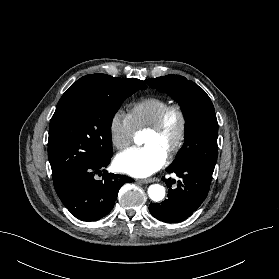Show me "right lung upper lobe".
<instances>
[{"label": "right lung upper lobe", "instance_id": "obj_1", "mask_svg": "<svg viewBox=\"0 0 279 279\" xmlns=\"http://www.w3.org/2000/svg\"><path fill=\"white\" fill-rule=\"evenodd\" d=\"M142 85L146 89L147 86L145 85V83L143 81H142Z\"/></svg>", "mask_w": 279, "mask_h": 279}]
</instances>
